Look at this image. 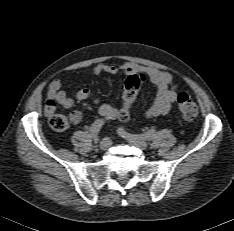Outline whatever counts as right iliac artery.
I'll use <instances>...</instances> for the list:
<instances>
[{
	"label": "right iliac artery",
	"mask_w": 234,
	"mask_h": 231,
	"mask_svg": "<svg viewBox=\"0 0 234 231\" xmlns=\"http://www.w3.org/2000/svg\"><path fill=\"white\" fill-rule=\"evenodd\" d=\"M104 125V120L102 119H98L96 120L90 127V132L92 137L94 138L95 141H98V133L100 131V129L102 128V126Z\"/></svg>",
	"instance_id": "right-iliac-artery-1"
}]
</instances>
